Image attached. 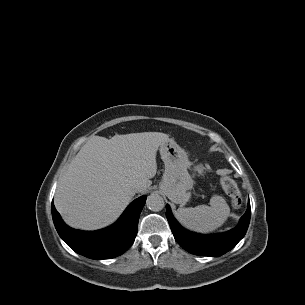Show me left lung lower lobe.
I'll use <instances>...</instances> for the list:
<instances>
[{
  "mask_svg": "<svg viewBox=\"0 0 305 305\" xmlns=\"http://www.w3.org/2000/svg\"><path fill=\"white\" fill-rule=\"evenodd\" d=\"M251 209L248 205L246 213L239 224L224 233L202 235L185 230L173 217L169 205H166V217L174 238L186 251L202 256H221L234 248L244 237L250 222Z\"/></svg>",
  "mask_w": 305,
  "mask_h": 305,
  "instance_id": "obj_1",
  "label": "left lung lower lobe"
}]
</instances>
